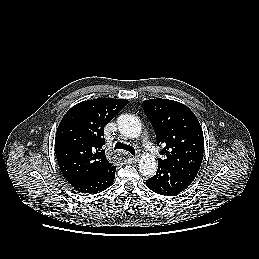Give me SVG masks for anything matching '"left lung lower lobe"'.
Returning a JSON list of instances; mask_svg holds the SVG:
<instances>
[{"mask_svg": "<svg viewBox=\"0 0 259 259\" xmlns=\"http://www.w3.org/2000/svg\"><path fill=\"white\" fill-rule=\"evenodd\" d=\"M191 183L175 171L158 164L156 175L146 180L152 191L165 196H173L184 191Z\"/></svg>", "mask_w": 259, "mask_h": 259, "instance_id": "left-lung-lower-lobe-1", "label": "left lung lower lobe"}]
</instances>
